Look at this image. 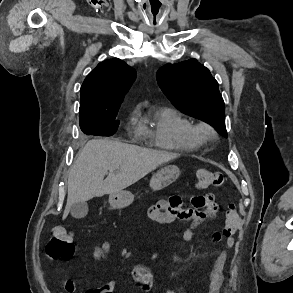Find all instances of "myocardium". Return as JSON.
<instances>
[{"mask_svg":"<svg viewBox=\"0 0 293 293\" xmlns=\"http://www.w3.org/2000/svg\"><path fill=\"white\" fill-rule=\"evenodd\" d=\"M193 132L199 142H203L215 135L214 128L206 122L193 124Z\"/></svg>","mask_w":293,"mask_h":293,"instance_id":"obj_1","label":"myocardium"}]
</instances>
